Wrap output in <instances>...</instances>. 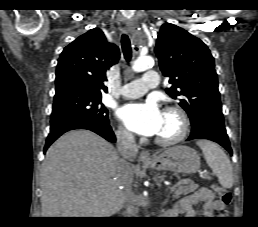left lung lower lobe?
Instances as JSON below:
<instances>
[{
  "instance_id": "obj_1",
  "label": "left lung lower lobe",
  "mask_w": 258,
  "mask_h": 227,
  "mask_svg": "<svg viewBox=\"0 0 258 227\" xmlns=\"http://www.w3.org/2000/svg\"><path fill=\"white\" fill-rule=\"evenodd\" d=\"M193 139H208L217 142L232 155L222 115L205 116L198 125L192 127L191 135L187 140Z\"/></svg>"
}]
</instances>
